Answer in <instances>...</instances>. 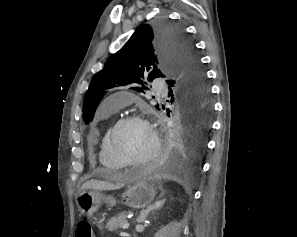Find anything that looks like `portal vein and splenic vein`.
I'll use <instances>...</instances> for the list:
<instances>
[{
  "mask_svg": "<svg viewBox=\"0 0 297 237\" xmlns=\"http://www.w3.org/2000/svg\"><path fill=\"white\" fill-rule=\"evenodd\" d=\"M129 226H130V224L128 222H125L122 226V229L125 230V229L129 228Z\"/></svg>",
  "mask_w": 297,
  "mask_h": 237,
  "instance_id": "portal-vein-and-splenic-vein-1",
  "label": "portal vein and splenic vein"
}]
</instances>
